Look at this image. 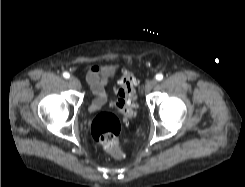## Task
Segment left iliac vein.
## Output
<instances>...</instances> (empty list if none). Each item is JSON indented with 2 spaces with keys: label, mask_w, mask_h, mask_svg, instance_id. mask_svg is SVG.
<instances>
[{
  "label": "left iliac vein",
  "mask_w": 245,
  "mask_h": 187,
  "mask_svg": "<svg viewBox=\"0 0 245 187\" xmlns=\"http://www.w3.org/2000/svg\"><path fill=\"white\" fill-rule=\"evenodd\" d=\"M156 84H157L156 80L152 79L147 81L144 87L145 92H150L156 86Z\"/></svg>",
  "instance_id": "left-iliac-vein-1"
}]
</instances>
